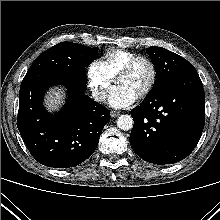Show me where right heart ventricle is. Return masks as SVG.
Wrapping results in <instances>:
<instances>
[{"label":"right heart ventricle","mask_w":220,"mask_h":220,"mask_svg":"<svg viewBox=\"0 0 220 220\" xmlns=\"http://www.w3.org/2000/svg\"><path fill=\"white\" fill-rule=\"evenodd\" d=\"M138 56L136 53L125 49H112L103 56V62L106 65L112 77L116 76L123 66L131 59Z\"/></svg>","instance_id":"1"}]
</instances>
